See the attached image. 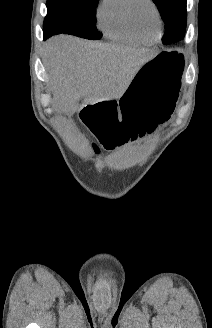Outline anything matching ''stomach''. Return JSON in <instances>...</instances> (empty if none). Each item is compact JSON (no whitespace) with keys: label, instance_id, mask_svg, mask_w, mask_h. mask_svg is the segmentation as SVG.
Listing matches in <instances>:
<instances>
[{"label":"stomach","instance_id":"stomach-1","mask_svg":"<svg viewBox=\"0 0 212 328\" xmlns=\"http://www.w3.org/2000/svg\"><path fill=\"white\" fill-rule=\"evenodd\" d=\"M183 68L179 52L157 53L139 67L116 102H87L80 114L82 123L107 149L150 134L170 118Z\"/></svg>","mask_w":212,"mask_h":328}]
</instances>
